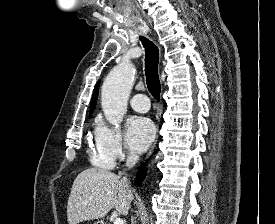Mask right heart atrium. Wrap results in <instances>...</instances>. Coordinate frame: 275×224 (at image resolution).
Instances as JSON below:
<instances>
[{"mask_svg": "<svg viewBox=\"0 0 275 224\" xmlns=\"http://www.w3.org/2000/svg\"><path fill=\"white\" fill-rule=\"evenodd\" d=\"M99 141L108 154L115 160L126 157L123 136L118 129L111 128L105 124L98 126Z\"/></svg>", "mask_w": 275, "mask_h": 224, "instance_id": "d8ad5b80", "label": "right heart atrium"}]
</instances>
